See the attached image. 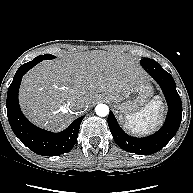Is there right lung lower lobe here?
I'll return each mask as SVG.
<instances>
[{
    "mask_svg": "<svg viewBox=\"0 0 193 193\" xmlns=\"http://www.w3.org/2000/svg\"><path fill=\"white\" fill-rule=\"evenodd\" d=\"M41 61L32 60L23 64L15 73L8 89L6 106L10 126L14 134L33 152L42 156H56L70 151L77 141L83 116L60 133L40 129L30 123L21 112L18 92L23 75Z\"/></svg>",
    "mask_w": 193,
    "mask_h": 193,
    "instance_id": "1",
    "label": "right lung lower lobe"
}]
</instances>
